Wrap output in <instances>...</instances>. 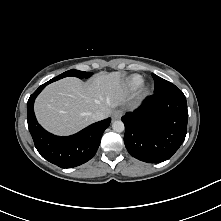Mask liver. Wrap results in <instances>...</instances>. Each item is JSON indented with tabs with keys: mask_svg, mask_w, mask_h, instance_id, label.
<instances>
[{
	"mask_svg": "<svg viewBox=\"0 0 221 221\" xmlns=\"http://www.w3.org/2000/svg\"><path fill=\"white\" fill-rule=\"evenodd\" d=\"M126 97L122 75L101 72L87 83L68 77L48 85L37 97L34 110L46 130L69 135L93 123L91 115L96 111L108 117Z\"/></svg>",
	"mask_w": 221,
	"mask_h": 221,
	"instance_id": "6515ba94",
	"label": "liver"
}]
</instances>
